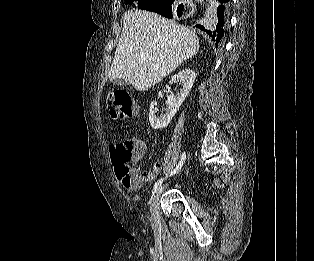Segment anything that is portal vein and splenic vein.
Wrapping results in <instances>:
<instances>
[{
    "mask_svg": "<svg viewBox=\"0 0 314 261\" xmlns=\"http://www.w3.org/2000/svg\"><path fill=\"white\" fill-rule=\"evenodd\" d=\"M143 60H145V58L144 57H141ZM153 68L154 69H158L159 67H158V65H153Z\"/></svg>",
    "mask_w": 314,
    "mask_h": 261,
    "instance_id": "obj_1",
    "label": "portal vein and splenic vein"
}]
</instances>
